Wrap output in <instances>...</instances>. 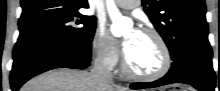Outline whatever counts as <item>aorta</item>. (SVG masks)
Segmentation results:
<instances>
[{
	"mask_svg": "<svg viewBox=\"0 0 220 91\" xmlns=\"http://www.w3.org/2000/svg\"><path fill=\"white\" fill-rule=\"evenodd\" d=\"M108 14L112 20L111 32L115 36H120L125 28L131 25L128 18L123 17L117 9L114 0H106Z\"/></svg>",
	"mask_w": 220,
	"mask_h": 91,
	"instance_id": "obj_1",
	"label": "aorta"
}]
</instances>
